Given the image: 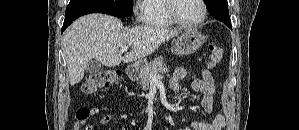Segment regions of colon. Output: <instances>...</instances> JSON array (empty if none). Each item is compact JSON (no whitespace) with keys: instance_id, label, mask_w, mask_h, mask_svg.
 <instances>
[{"instance_id":"5ec220e1","label":"colon","mask_w":299,"mask_h":130,"mask_svg":"<svg viewBox=\"0 0 299 130\" xmlns=\"http://www.w3.org/2000/svg\"><path fill=\"white\" fill-rule=\"evenodd\" d=\"M224 51L220 46L213 45L211 46V55L208 62V68L215 67L223 59ZM120 72L116 70H101L96 73L89 75L83 86L82 91L91 95L96 93V91L104 86L117 84L120 80ZM197 76H190L191 81L195 80ZM91 110L88 108H82L77 112L78 121L85 125L87 118L90 116ZM84 130H90L89 126H85Z\"/></svg>"}]
</instances>
